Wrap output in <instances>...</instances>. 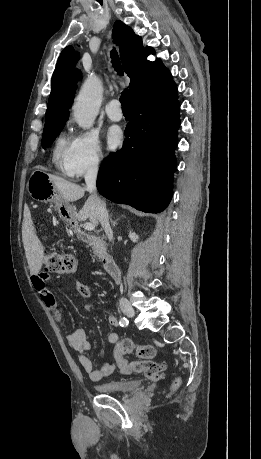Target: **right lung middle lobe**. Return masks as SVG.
I'll return each mask as SVG.
<instances>
[{
  "instance_id": "1",
  "label": "right lung middle lobe",
  "mask_w": 261,
  "mask_h": 459,
  "mask_svg": "<svg viewBox=\"0 0 261 459\" xmlns=\"http://www.w3.org/2000/svg\"><path fill=\"white\" fill-rule=\"evenodd\" d=\"M65 123L44 126L43 136H42V147H48L63 129Z\"/></svg>"
}]
</instances>
